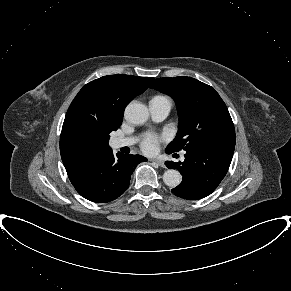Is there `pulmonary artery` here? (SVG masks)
<instances>
[{"label": "pulmonary artery", "instance_id": "e3ab8cb5", "mask_svg": "<svg viewBox=\"0 0 291 291\" xmlns=\"http://www.w3.org/2000/svg\"><path fill=\"white\" fill-rule=\"evenodd\" d=\"M172 107L171 101L167 97L155 96L149 102V110L153 120L162 121L165 119ZM136 142L135 137L116 138L112 142V146L115 149H119L126 146H131Z\"/></svg>", "mask_w": 291, "mask_h": 291}]
</instances>
